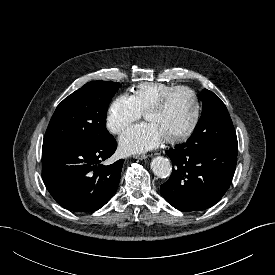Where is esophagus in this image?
<instances>
[{"mask_svg":"<svg viewBox=\"0 0 275 275\" xmlns=\"http://www.w3.org/2000/svg\"><path fill=\"white\" fill-rule=\"evenodd\" d=\"M133 158L139 159V160H144V159L147 158V155H144V154H136V155H133Z\"/></svg>","mask_w":275,"mask_h":275,"instance_id":"esophagus-1","label":"esophagus"}]
</instances>
